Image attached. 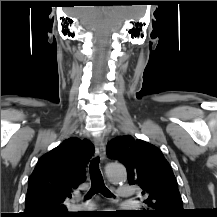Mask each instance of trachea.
<instances>
[{"label":"trachea","instance_id":"3493384b","mask_svg":"<svg viewBox=\"0 0 217 217\" xmlns=\"http://www.w3.org/2000/svg\"><path fill=\"white\" fill-rule=\"evenodd\" d=\"M90 179H91V189L89 190L86 198L89 199L95 193H101L105 197H111V192L106 188L102 174L99 169V158H95L90 163Z\"/></svg>","mask_w":217,"mask_h":217}]
</instances>
